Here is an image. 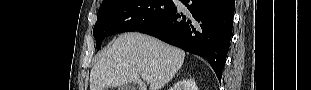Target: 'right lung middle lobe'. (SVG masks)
<instances>
[{"instance_id":"right-lung-middle-lobe-1","label":"right lung middle lobe","mask_w":311,"mask_h":90,"mask_svg":"<svg viewBox=\"0 0 311 90\" xmlns=\"http://www.w3.org/2000/svg\"><path fill=\"white\" fill-rule=\"evenodd\" d=\"M175 7L172 0H107L102 2L93 29L97 50L106 36L138 31L165 17Z\"/></svg>"}]
</instances>
